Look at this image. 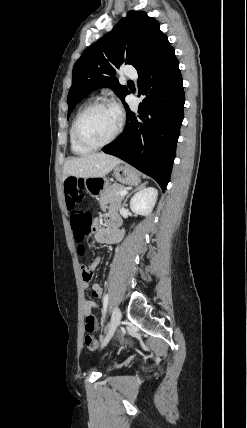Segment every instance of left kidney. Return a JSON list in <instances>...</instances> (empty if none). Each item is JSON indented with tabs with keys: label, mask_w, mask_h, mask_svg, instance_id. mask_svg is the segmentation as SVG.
<instances>
[{
	"label": "left kidney",
	"mask_w": 247,
	"mask_h": 428,
	"mask_svg": "<svg viewBox=\"0 0 247 428\" xmlns=\"http://www.w3.org/2000/svg\"><path fill=\"white\" fill-rule=\"evenodd\" d=\"M157 195L154 187L142 188L131 198L130 209L136 214L149 215L156 204Z\"/></svg>",
	"instance_id": "5707ae66"
}]
</instances>
